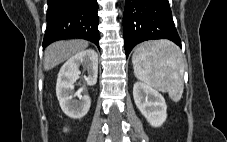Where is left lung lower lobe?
<instances>
[{
  "instance_id": "1",
  "label": "left lung lower lobe",
  "mask_w": 227,
  "mask_h": 142,
  "mask_svg": "<svg viewBox=\"0 0 227 142\" xmlns=\"http://www.w3.org/2000/svg\"><path fill=\"white\" fill-rule=\"evenodd\" d=\"M123 33L127 57L146 40L169 39L181 47L168 0H126Z\"/></svg>"
}]
</instances>
